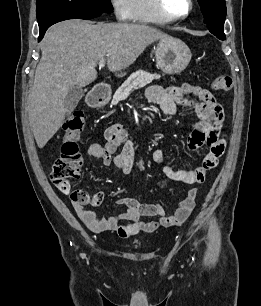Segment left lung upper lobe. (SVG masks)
Returning <instances> with one entry per match:
<instances>
[{
    "instance_id": "left-lung-upper-lobe-1",
    "label": "left lung upper lobe",
    "mask_w": 261,
    "mask_h": 306,
    "mask_svg": "<svg viewBox=\"0 0 261 306\" xmlns=\"http://www.w3.org/2000/svg\"><path fill=\"white\" fill-rule=\"evenodd\" d=\"M198 2L209 31L214 35H223L226 18L225 0H198Z\"/></svg>"
}]
</instances>
